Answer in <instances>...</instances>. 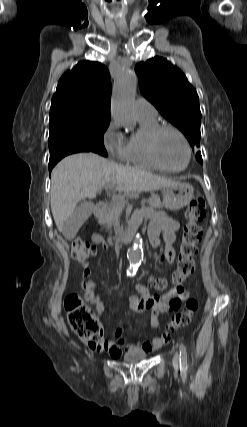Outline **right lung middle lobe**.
Segmentation results:
<instances>
[{"label": "right lung middle lobe", "instance_id": "right-lung-middle-lobe-1", "mask_svg": "<svg viewBox=\"0 0 247 427\" xmlns=\"http://www.w3.org/2000/svg\"><path fill=\"white\" fill-rule=\"evenodd\" d=\"M110 117L90 112L63 110L50 114L49 149L77 146L107 156L103 135Z\"/></svg>", "mask_w": 247, "mask_h": 427}]
</instances>
